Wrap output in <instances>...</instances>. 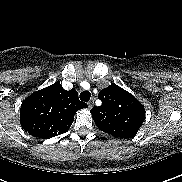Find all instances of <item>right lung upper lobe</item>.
I'll return each mask as SVG.
<instances>
[{"mask_svg":"<svg viewBox=\"0 0 182 182\" xmlns=\"http://www.w3.org/2000/svg\"><path fill=\"white\" fill-rule=\"evenodd\" d=\"M86 107L88 105L79 100L76 90H64L57 82L23 100L20 123L30 135L50 138L67 132L76 111Z\"/></svg>","mask_w":182,"mask_h":182,"instance_id":"1","label":"right lung upper lobe"}]
</instances>
